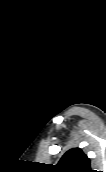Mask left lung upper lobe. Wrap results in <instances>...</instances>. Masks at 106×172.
I'll return each instance as SVG.
<instances>
[{
    "label": "left lung upper lobe",
    "mask_w": 106,
    "mask_h": 172,
    "mask_svg": "<svg viewBox=\"0 0 106 172\" xmlns=\"http://www.w3.org/2000/svg\"><path fill=\"white\" fill-rule=\"evenodd\" d=\"M55 167L56 172H94L88 157L79 148L67 151Z\"/></svg>",
    "instance_id": "left-lung-upper-lobe-1"
}]
</instances>
